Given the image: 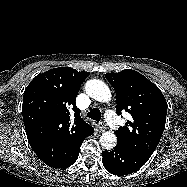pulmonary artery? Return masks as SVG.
<instances>
[{
    "instance_id": "e3ab8cb5",
    "label": "pulmonary artery",
    "mask_w": 187,
    "mask_h": 187,
    "mask_svg": "<svg viewBox=\"0 0 187 187\" xmlns=\"http://www.w3.org/2000/svg\"><path fill=\"white\" fill-rule=\"evenodd\" d=\"M106 115H107V117H112L113 124L115 126H118L120 124V120L114 115L113 112L107 111Z\"/></svg>"
}]
</instances>
